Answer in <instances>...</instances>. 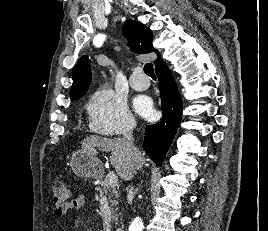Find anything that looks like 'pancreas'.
Wrapping results in <instances>:
<instances>
[{"label": "pancreas", "instance_id": "1", "mask_svg": "<svg viewBox=\"0 0 268 231\" xmlns=\"http://www.w3.org/2000/svg\"><path fill=\"white\" fill-rule=\"evenodd\" d=\"M96 189L99 191L100 196L108 195V200L111 206V213H112L111 217L112 220L115 222V224H117L118 208L116 206L118 204L117 198L119 197V193L116 186H109L108 181L104 179L98 184Z\"/></svg>", "mask_w": 268, "mask_h": 231}]
</instances>
